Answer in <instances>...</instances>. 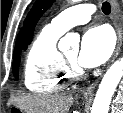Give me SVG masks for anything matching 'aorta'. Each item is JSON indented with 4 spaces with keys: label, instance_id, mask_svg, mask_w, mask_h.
Returning a JSON list of instances; mask_svg holds the SVG:
<instances>
[{
    "label": "aorta",
    "instance_id": "aorta-1",
    "mask_svg": "<svg viewBox=\"0 0 123 113\" xmlns=\"http://www.w3.org/2000/svg\"><path fill=\"white\" fill-rule=\"evenodd\" d=\"M76 1V0H75ZM79 36L67 33L59 42V49L64 51L72 47L78 48ZM123 76V58L115 61L105 73L97 90L91 113H108L109 105L115 89Z\"/></svg>",
    "mask_w": 123,
    "mask_h": 113
}]
</instances>
